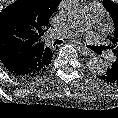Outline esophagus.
Listing matches in <instances>:
<instances>
[{"instance_id": "1", "label": "esophagus", "mask_w": 118, "mask_h": 118, "mask_svg": "<svg viewBox=\"0 0 118 118\" xmlns=\"http://www.w3.org/2000/svg\"><path fill=\"white\" fill-rule=\"evenodd\" d=\"M80 49L83 52L84 55L86 56H93L94 54L85 46L80 45Z\"/></svg>"}]
</instances>
